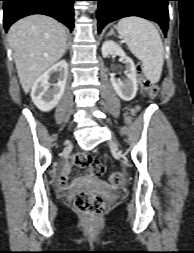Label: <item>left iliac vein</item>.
Returning a JSON list of instances; mask_svg holds the SVG:
<instances>
[{"instance_id":"obj_1","label":"left iliac vein","mask_w":194,"mask_h":253,"mask_svg":"<svg viewBox=\"0 0 194 253\" xmlns=\"http://www.w3.org/2000/svg\"><path fill=\"white\" fill-rule=\"evenodd\" d=\"M109 146H110L112 149H116V148H117V144H116V142H114V141H110V142H109Z\"/></svg>"}]
</instances>
